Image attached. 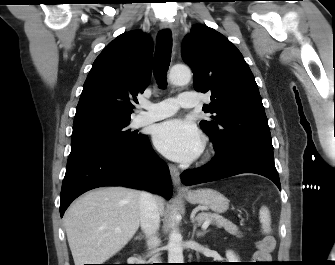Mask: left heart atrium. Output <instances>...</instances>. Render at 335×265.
Instances as JSON below:
<instances>
[{
	"label": "left heart atrium",
	"instance_id": "1",
	"mask_svg": "<svg viewBox=\"0 0 335 265\" xmlns=\"http://www.w3.org/2000/svg\"><path fill=\"white\" fill-rule=\"evenodd\" d=\"M155 147L175 161H190L202 151L203 141L198 129L182 119H171L157 125L153 132Z\"/></svg>",
	"mask_w": 335,
	"mask_h": 265
}]
</instances>
